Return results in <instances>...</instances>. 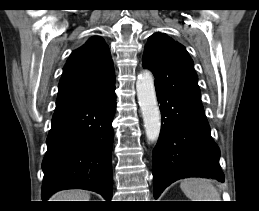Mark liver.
I'll list each match as a JSON object with an SVG mask.
<instances>
[{"instance_id":"liver-1","label":"liver","mask_w":259,"mask_h":211,"mask_svg":"<svg viewBox=\"0 0 259 211\" xmlns=\"http://www.w3.org/2000/svg\"><path fill=\"white\" fill-rule=\"evenodd\" d=\"M51 201H89L90 195L83 190H67L52 196Z\"/></svg>"}]
</instances>
